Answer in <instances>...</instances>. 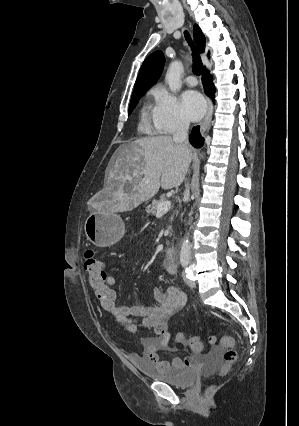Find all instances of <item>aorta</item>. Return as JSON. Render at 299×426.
<instances>
[{
	"instance_id": "762f6f07",
	"label": "aorta",
	"mask_w": 299,
	"mask_h": 426,
	"mask_svg": "<svg viewBox=\"0 0 299 426\" xmlns=\"http://www.w3.org/2000/svg\"><path fill=\"white\" fill-rule=\"evenodd\" d=\"M183 73V65L180 61H172L166 72L165 80L172 92H177L182 87L181 75ZM191 253V245L188 237L183 239L180 250V261L189 262Z\"/></svg>"
}]
</instances>
